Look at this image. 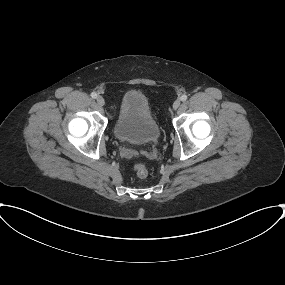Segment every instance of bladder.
Returning <instances> with one entry per match:
<instances>
[{"mask_svg":"<svg viewBox=\"0 0 285 285\" xmlns=\"http://www.w3.org/2000/svg\"><path fill=\"white\" fill-rule=\"evenodd\" d=\"M115 136L134 145H147L160 137V127L148 98L139 90L126 92L120 102L114 124Z\"/></svg>","mask_w":285,"mask_h":285,"instance_id":"31cf9c89","label":"bladder"}]
</instances>
